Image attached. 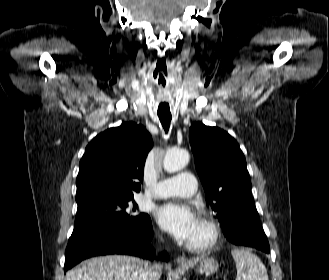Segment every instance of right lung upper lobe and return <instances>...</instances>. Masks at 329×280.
Returning <instances> with one entry per match:
<instances>
[{
    "label": "right lung upper lobe",
    "mask_w": 329,
    "mask_h": 280,
    "mask_svg": "<svg viewBox=\"0 0 329 280\" xmlns=\"http://www.w3.org/2000/svg\"><path fill=\"white\" fill-rule=\"evenodd\" d=\"M152 146L148 131L134 122L97 135L80 160L76 199L92 195L133 197L140 191Z\"/></svg>",
    "instance_id": "right-lung-upper-lobe-1"
}]
</instances>
